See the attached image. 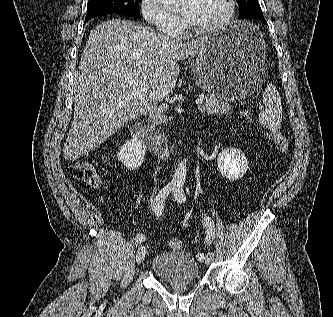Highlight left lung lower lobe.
Wrapping results in <instances>:
<instances>
[{"label":"left lung lower lobe","mask_w":333,"mask_h":317,"mask_svg":"<svg viewBox=\"0 0 333 317\" xmlns=\"http://www.w3.org/2000/svg\"><path fill=\"white\" fill-rule=\"evenodd\" d=\"M253 19L261 20L262 22H264L265 24H267V22H266L264 16L256 17V18H253Z\"/></svg>","instance_id":"0a47b994"}]
</instances>
